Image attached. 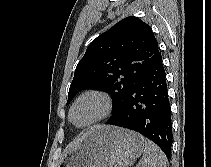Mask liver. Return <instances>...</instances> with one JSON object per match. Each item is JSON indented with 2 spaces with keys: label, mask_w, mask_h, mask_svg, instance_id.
Here are the masks:
<instances>
[{
  "label": "liver",
  "mask_w": 211,
  "mask_h": 167,
  "mask_svg": "<svg viewBox=\"0 0 211 167\" xmlns=\"http://www.w3.org/2000/svg\"><path fill=\"white\" fill-rule=\"evenodd\" d=\"M83 136H84V135H83ZM83 136H82L78 141H76V142L70 144V145L66 148L65 151L67 152V151H69L70 149H72L73 147H75V146L81 141V139L83 138Z\"/></svg>",
  "instance_id": "liver-1"
}]
</instances>
